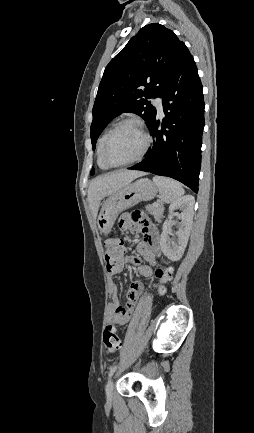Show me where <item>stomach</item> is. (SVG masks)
Instances as JSON below:
<instances>
[{"instance_id": "1", "label": "stomach", "mask_w": 254, "mask_h": 433, "mask_svg": "<svg viewBox=\"0 0 254 433\" xmlns=\"http://www.w3.org/2000/svg\"><path fill=\"white\" fill-rule=\"evenodd\" d=\"M157 192L156 184L147 178L129 183L115 191L104 202L100 210L97 219L98 229L101 233L108 234L121 212L136 205L140 201L152 200Z\"/></svg>"}]
</instances>
